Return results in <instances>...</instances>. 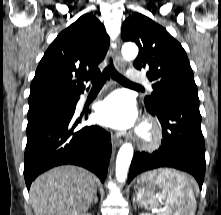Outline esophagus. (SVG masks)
Wrapping results in <instances>:
<instances>
[{"label":"esophagus","mask_w":221,"mask_h":215,"mask_svg":"<svg viewBox=\"0 0 221 215\" xmlns=\"http://www.w3.org/2000/svg\"><path fill=\"white\" fill-rule=\"evenodd\" d=\"M114 56H115V67L117 71L122 72L124 70V60L120 53V43L119 40H117V47L114 50ZM122 140L118 138L115 135H112V144L114 147H117L121 145Z\"/></svg>","instance_id":"obj_1"}]
</instances>
